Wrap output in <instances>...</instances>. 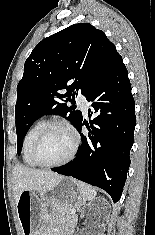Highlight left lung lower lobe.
I'll list each match as a JSON object with an SVG mask.
<instances>
[{
    "label": "left lung lower lobe",
    "instance_id": "obj_1",
    "mask_svg": "<svg viewBox=\"0 0 155 235\" xmlns=\"http://www.w3.org/2000/svg\"><path fill=\"white\" fill-rule=\"evenodd\" d=\"M86 99L92 102L89 117L94 115L89 135L81 134L82 145L72 162L52 171L97 186L116 203L127 178L136 125L135 102L122 57ZM83 125L81 119L76 126L79 133Z\"/></svg>",
    "mask_w": 155,
    "mask_h": 235
}]
</instances>
